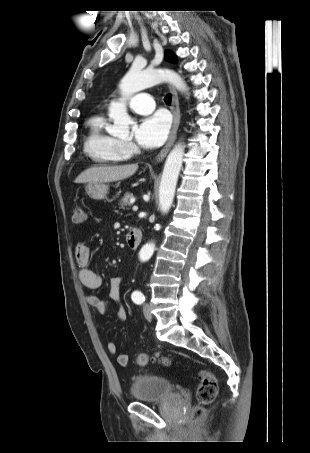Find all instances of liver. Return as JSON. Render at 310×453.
<instances>
[{
	"mask_svg": "<svg viewBox=\"0 0 310 453\" xmlns=\"http://www.w3.org/2000/svg\"><path fill=\"white\" fill-rule=\"evenodd\" d=\"M138 169V164L120 166H93L84 170L75 179V183H106L124 180L132 176Z\"/></svg>",
	"mask_w": 310,
	"mask_h": 453,
	"instance_id": "1",
	"label": "liver"
}]
</instances>
